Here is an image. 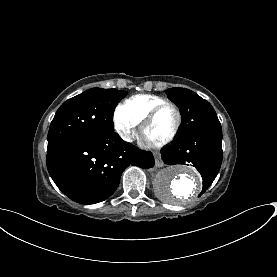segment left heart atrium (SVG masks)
Here are the masks:
<instances>
[{"label":"left heart atrium","instance_id":"1","mask_svg":"<svg viewBox=\"0 0 277 277\" xmlns=\"http://www.w3.org/2000/svg\"><path fill=\"white\" fill-rule=\"evenodd\" d=\"M145 142H150L146 137L143 138Z\"/></svg>","mask_w":277,"mask_h":277}]
</instances>
